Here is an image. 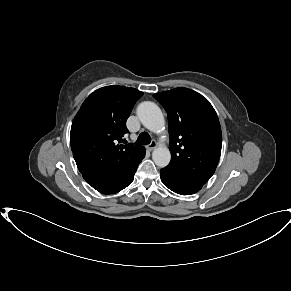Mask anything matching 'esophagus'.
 Masks as SVG:
<instances>
[{
	"instance_id": "obj_1",
	"label": "esophagus",
	"mask_w": 291,
	"mask_h": 291,
	"mask_svg": "<svg viewBox=\"0 0 291 291\" xmlns=\"http://www.w3.org/2000/svg\"><path fill=\"white\" fill-rule=\"evenodd\" d=\"M157 147V142L155 140L151 141V143L147 146V149L149 151H152L153 149H155Z\"/></svg>"
}]
</instances>
